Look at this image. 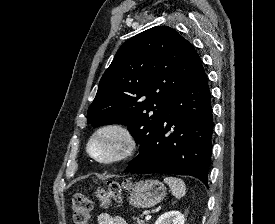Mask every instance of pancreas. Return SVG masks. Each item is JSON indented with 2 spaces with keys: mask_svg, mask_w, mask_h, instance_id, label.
<instances>
[{
  "mask_svg": "<svg viewBox=\"0 0 275 224\" xmlns=\"http://www.w3.org/2000/svg\"><path fill=\"white\" fill-rule=\"evenodd\" d=\"M135 221V224H146L144 220L139 219L138 217L133 218Z\"/></svg>",
  "mask_w": 275,
  "mask_h": 224,
  "instance_id": "obj_1",
  "label": "pancreas"
}]
</instances>
